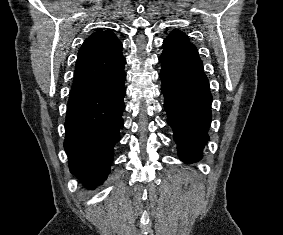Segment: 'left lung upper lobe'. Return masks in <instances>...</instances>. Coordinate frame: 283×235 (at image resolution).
Listing matches in <instances>:
<instances>
[{"instance_id": "obj_1", "label": "left lung upper lobe", "mask_w": 283, "mask_h": 235, "mask_svg": "<svg viewBox=\"0 0 283 235\" xmlns=\"http://www.w3.org/2000/svg\"><path fill=\"white\" fill-rule=\"evenodd\" d=\"M161 63L203 70V64L196 47L180 30H173L164 40Z\"/></svg>"}]
</instances>
